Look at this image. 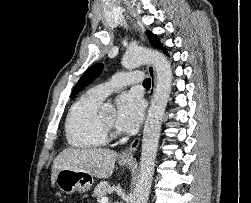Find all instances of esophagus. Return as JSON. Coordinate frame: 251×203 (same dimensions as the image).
Segmentation results:
<instances>
[{"mask_svg": "<svg viewBox=\"0 0 251 203\" xmlns=\"http://www.w3.org/2000/svg\"><path fill=\"white\" fill-rule=\"evenodd\" d=\"M147 72L151 78V88L149 90V100L151 101L153 98L154 90L156 86V71H155L154 66L151 64L148 65ZM139 144H140V135L137 138H135L130 144V146L121 153L120 158L124 160L133 159V155L137 151Z\"/></svg>", "mask_w": 251, "mask_h": 203, "instance_id": "esophagus-1", "label": "esophagus"}]
</instances>
